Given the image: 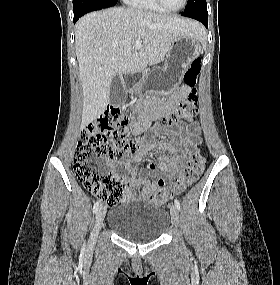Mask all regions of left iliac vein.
Listing matches in <instances>:
<instances>
[{
	"label": "left iliac vein",
	"instance_id": "4c4485c4",
	"mask_svg": "<svg viewBox=\"0 0 280 285\" xmlns=\"http://www.w3.org/2000/svg\"><path fill=\"white\" fill-rule=\"evenodd\" d=\"M170 214H171V221L172 224L175 227L179 226V210L177 209V207L175 205H172L170 208Z\"/></svg>",
	"mask_w": 280,
	"mask_h": 285
}]
</instances>
